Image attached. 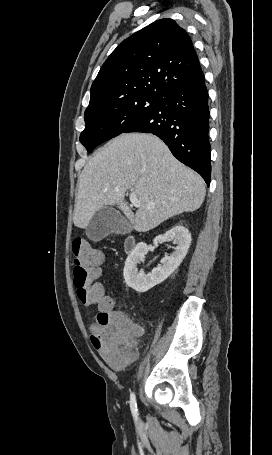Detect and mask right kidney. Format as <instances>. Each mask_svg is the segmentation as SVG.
Here are the masks:
<instances>
[{
    "mask_svg": "<svg viewBox=\"0 0 272 455\" xmlns=\"http://www.w3.org/2000/svg\"><path fill=\"white\" fill-rule=\"evenodd\" d=\"M171 240L176 245L174 252L166 255L161 260V265L154 268L150 274H145L143 270L138 272L137 269V264L144 260L148 252V246L145 242L136 245L124 266L123 276L127 286L140 293L146 292L166 280L178 268L190 247L191 234L184 226L176 225L165 234L155 237L153 243L158 246V243Z\"/></svg>",
    "mask_w": 272,
    "mask_h": 455,
    "instance_id": "1",
    "label": "right kidney"
}]
</instances>
